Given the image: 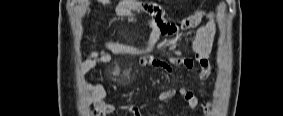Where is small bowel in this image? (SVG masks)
I'll return each mask as SVG.
<instances>
[{
	"label": "small bowel",
	"mask_w": 283,
	"mask_h": 116,
	"mask_svg": "<svg viewBox=\"0 0 283 116\" xmlns=\"http://www.w3.org/2000/svg\"><path fill=\"white\" fill-rule=\"evenodd\" d=\"M99 2L111 5V1L109 0H101ZM137 4L138 3L133 0H121L114 6V9L120 17L144 24L150 31L148 43L144 46H134L106 40L101 38L98 34H94V43L96 45L101 44L104 49H97L89 53L81 64V72L85 74L98 64L109 63L111 61V53L143 56L159 43L162 36L171 35L176 41H181L187 31L197 28L191 43L194 58L178 55L170 60L154 59L150 56H143L140 59L141 66L154 67L162 70L169 77L170 81L176 85L174 88L158 93L155 97L156 101L165 102L180 95L183 97L185 105L190 110L196 109L199 105L197 95L186 87L178 86L180 78L174 71L172 65H181L195 71L196 75L201 80L206 79L210 75L211 65L209 54L212 49L215 34L214 14L212 12L208 13V21L198 26L202 12H196L183 22L181 29H178L166 22L164 12L158 6L149 5L146 8V12L149 13L152 18L140 17V12L136 7ZM168 48L173 49L174 43L168 44ZM196 63H198L199 66H196ZM87 89L89 91L91 104L96 108V115H105L114 110V105L107 104L103 101L106 96L103 86L99 84H88ZM149 107V104H145L141 108L135 106H128L127 108L135 116H142L144 115V111ZM205 109L208 110L209 106H206Z\"/></svg>",
	"instance_id": "small-bowel-1"
}]
</instances>
